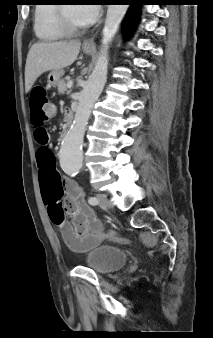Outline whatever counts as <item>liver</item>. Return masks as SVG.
Segmentation results:
<instances>
[{"label": "liver", "mask_w": 213, "mask_h": 338, "mask_svg": "<svg viewBox=\"0 0 213 338\" xmlns=\"http://www.w3.org/2000/svg\"><path fill=\"white\" fill-rule=\"evenodd\" d=\"M80 41L39 42L30 48L25 66V92L28 93L37 78L47 71L68 67L80 51Z\"/></svg>", "instance_id": "liver-1"}]
</instances>
